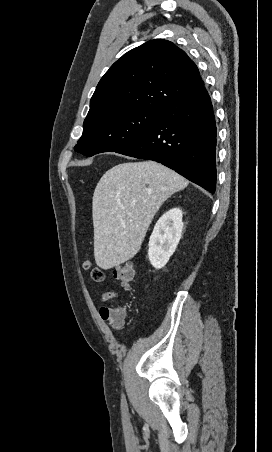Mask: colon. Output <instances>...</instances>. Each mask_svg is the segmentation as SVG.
<instances>
[{
	"mask_svg": "<svg viewBox=\"0 0 272 452\" xmlns=\"http://www.w3.org/2000/svg\"><path fill=\"white\" fill-rule=\"evenodd\" d=\"M84 268L90 270L92 279L96 282H102L105 279L104 271L96 267L90 261L84 263ZM115 277L125 286H128L134 281L135 271L131 263L126 262L118 265L114 269ZM120 312L125 311L123 308L116 309Z\"/></svg>",
	"mask_w": 272,
	"mask_h": 452,
	"instance_id": "5ec220e1",
	"label": "colon"
}]
</instances>
